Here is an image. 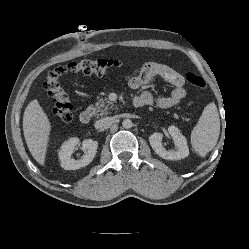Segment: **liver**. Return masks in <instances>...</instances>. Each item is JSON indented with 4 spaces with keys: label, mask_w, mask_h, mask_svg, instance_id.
Returning a JSON list of instances; mask_svg holds the SVG:
<instances>
[{
    "label": "liver",
    "mask_w": 249,
    "mask_h": 249,
    "mask_svg": "<svg viewBox=\"0 0 249 249\" xmlns=\"http://www.w3.org/2000/svg\"><path fill=\"white\" fill-rule=\"evenodd\" d=\"M51 124L37 99L31 101L23 115V132L33 158L44 165Z\"/></svg>",
    "instance_id": "6515ba94"
}]
</instances>
